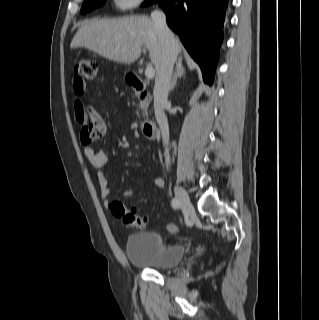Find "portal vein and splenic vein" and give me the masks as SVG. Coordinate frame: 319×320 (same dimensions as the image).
<instances>
[{
    "label": "portal vein and splenic vein",
    "instance_id": "obj_1",
    "mask_svg": "<svg viewBox=\"0 0 319 320\" xmlns=\"http://www.w3.org/2000/svg\"><path fill=\"white\" fill-rule=\"evenodd\" d=\"M145 75L148 79H152L155 75V69L153 68L152 65H149L145 69Z\"/></svg>",
    "mask_w": 319,
    "mask_h": 320
}]
</instances>
